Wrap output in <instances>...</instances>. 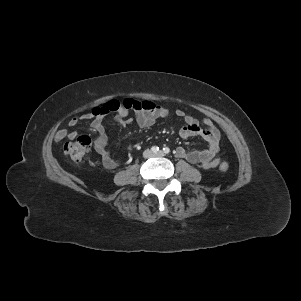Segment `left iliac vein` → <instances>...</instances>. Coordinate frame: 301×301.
Listing matches in <instances>:
<instances>
[{
  "label": "left iliac vein",
  "mask_w": 301,
  "mask_h": 301,
  "mask_svg": "<svg viewBox=\"0 0 301 301\" xmlns=\"http://www.w3.org/2000/svg\"><path fill=\"white\" fill-rule=\"evenodd\" d=\"M155 155H156V156H163L164 153H163V151H159V152H157Z\"/></svg>",
  "instance_id": "left-iliac-vein-1"
}]
</instances>
